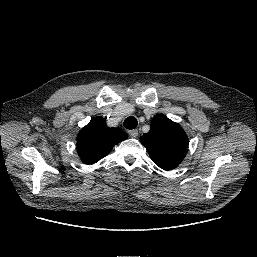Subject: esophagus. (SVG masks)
<instances>
[{
  "label": "esophagus",
  "mask_w": 257,
  "mask_h": 257,
  "mask_svg": "<svg viewBox=\"0 0 257 257\" xmlns=\"http://www.w3.org/2000/svg\"><path fill=\"white\" fill-rule=\"evenodd\" d=\"M128 133L133 138L138 136V131L137 130H129Z\"/></svg>",
  "instance_id": "1"
}]
</instances>
